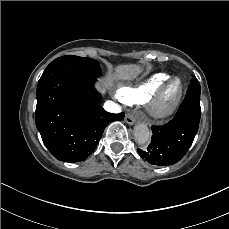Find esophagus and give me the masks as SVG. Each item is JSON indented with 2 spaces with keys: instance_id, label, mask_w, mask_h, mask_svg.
Segmentation results:
<instances>
[{
  "instance_id": "obj_1",
  "label": "esophagus",
  "mask_w": 229,
  "mask_h": 229,
  "mask_svg": "<svg viewBox=\"0 0 229 229\" xmlns=\"http://www.w3.org/2000/svg\"><path fill=\"white\" fill-rule=\"evenodd\" d=\"M137 118L138 117L134 113L129 112L125 116V122L129 125H133L136 122Z\"/></svg>"
}]
</instances>
